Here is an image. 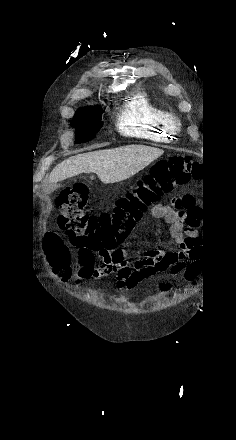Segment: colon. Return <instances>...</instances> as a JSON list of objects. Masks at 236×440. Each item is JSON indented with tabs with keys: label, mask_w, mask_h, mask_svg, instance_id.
Instances as JSON below:
<instances>
[{
	"label": "colon",
	"mask_w": 236,
	"mask_h": 440,
	"mask_svg": "<svg viewBox=\"0 0 236 440\" xmlns=\"http://www.w3.org/2000/svg\"><path fill=\"white\" fill-rule=\"evenodd\" d=\"M200 178L197 163L188 156H174L155 164L139 181L134 190L118 199L112 213L90 214L87 210L90 189L85 184L63 190L57 198L60 209L58 224L71 244L92 250H111L125 241L143 214L152 204L176 188L189 185ZM46 248L57 274L67 268L59 258L57 249L63 245L61 237L48 232Z\"/></svg>",
	"instance_id": "colon-1"
}]
</instances>
